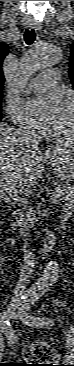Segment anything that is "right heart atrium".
<instances>
[{
  "instance_id": "1",
  "label": "right heart atrium",
  "mask_w": 74,
  "mask_h": 366,
  "mask_svg": "<svg viewBox=\"0 0 74 366\" xmlns=\"http://www.w3.org/2000/svg\"><path fill=\"white\" fill-rule=\"evenodd\" d=\"M19 104L15 101L8 100L6 105V112L12 121L21 129H30L24 117L21 118L19 114Z\"/></svg>"
}]
</instances>
